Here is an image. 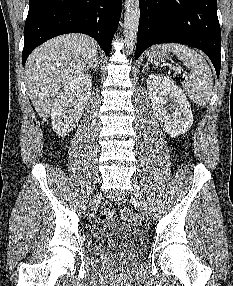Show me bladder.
Wrapping results in <instances>:
<instances>
[{
    "label": "bladder",
    "instance_id": "31cf9c89",
    "mask_svg": "<svg viewBox=\"0 0 233 286\" xmlns=\"http://www.w3.org/2000/svg\"><path fill=\"white\" fill-rule=\"evenodd\" d=\"M145 250V237L133 225L110 218L101 219L93 228L90 252L94 256L120 251L131 257H139Z\"/></svg>",
    "mask_w": 233,
    "mask_h": 286
}]
</instances>
